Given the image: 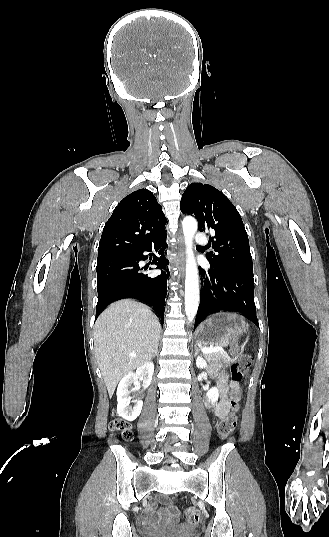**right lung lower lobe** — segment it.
I'll use <instances>...</instances> for the list:
<instances>
[{"mask_svg":"<svg viewBox=\"0 0 329 537\" xmlns=\"http://www.w3.org/2000/svg\"><path fill=\"white\" fill-rule=\"evenodd\" d=\"M166 236L156 241L153 246L157 251L160 249V257H155L152 264L156 269H165L168 260L165 257ZM153 246H148L126 256L109 257L97 260V291L98 302L96 318L110 303L124 298H136L153 307L154 312L163 322L165 311V298L167 295V272H161L156 277H149L140 268L139 262L148 256L144 252H151ZM151 269V268H150Z\"/></svg>","mask_w":329,"mask_h":537,"instance_id":"right-lung-lower-lobe-1","label":"right lung lower lobe"}]
</instances>
